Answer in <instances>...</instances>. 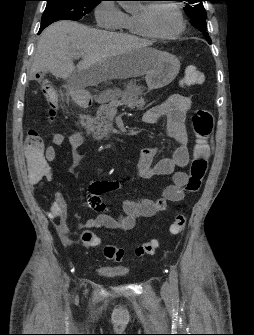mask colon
<instances>
[{"instance_id":"1","label":"colon","mask_w":254,"mask_h":335,"mask_svg":"<svg viewBox=\"0 0 254 335\" xmlns=\"http://www.w3.org/2000/svg\"><path fill=\"white\" fill-rule=\"evenodd\" d=\"M202 81V73L195 65L185 67L182 83L186 86H194ZM42 93L50 105V113L54 112L58 106V94L53 85L42 86ZM192 126L196 137L194 156L191 162L189 175L184 186L188 193L197 192L204 179L210 158V147L208 139L211 137L214 128V118L212 113L206 109H198L192 115ZM25 156V177L26 178H52L53 172L43 156V142L36 129H31L26 138ZM49 183L48 179L44 180ZM186 226V217L182 213L174 216L169 231L173 235L181 234ZM83 244L88 248H95L100 244L99 238L91 231H84L81 235ZM158 248V241L149 240L137 247L131 254H127L122 248L107 245L103 248V255L108 260L116 262L123 261L128 255L136 258L153 255Z\"/></svg>"}]
</instances>
